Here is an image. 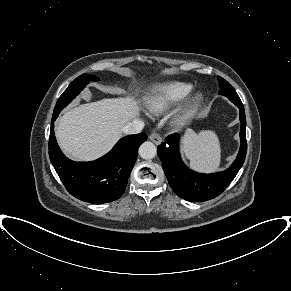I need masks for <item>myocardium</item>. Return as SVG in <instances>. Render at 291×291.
<instances>
[{"instance_id":"obj_1","label":"myocardium","mask_w":291,"mask_h":291,"mask_svg":"<svg viewBox=\"0 0 291 291\" xmlns=\"http://www.w3.org/2000/svg\"><path fill=\"white\" fill-rule=\"evenodd\" d=\"M203 99L201 93H195L189 96L176 111L172 120L173 125L183 127L189 123L200 109Z\"/></svg>"}]
</instances>
